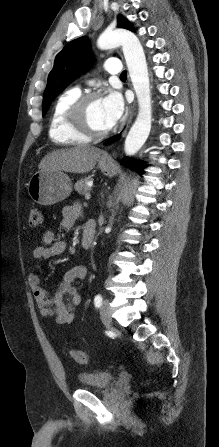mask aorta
Wrapping results in <instances>:
<instances>
[{
    "label": "aorta",
    "instance_id": "762f6f07",
    "mask_svg": "<svg viewBox=\"0 0 219 447\" xmlns=\"http://www.w3.org/2000/svg\"><path fill=\"white\" fill-rule=\"evenodd\" d=\"M97 45L102 50L122 46L139 107L136 120L130 128L124 144L126 154L131 156L143 146L151 130V93L144 50L136 35L124 29L104 31L99 36Z\"/></svg>",
    "mask_w": 219,
    "mask_h": 447
}]
</instances>
